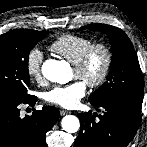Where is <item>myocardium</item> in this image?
Instances as JSON below:
<instances>
[{
  "label": "myocardium",
  "mask_w": 147,
  "mask_h": 147,
  "mask_svg": "<svg viewBox=\"0 0 147 147\" xmlns=\"http://www.w3.org/2000/svg\"><path fill=\"white\" fill-rule=\"evenodd\" d=\"M97 51H101L103 53L104 65L100 74L95 79L86 82L87 85L92 88L102 86L110 75L113 64V52L111 50V47L105 42H94L83 52L78 61L73 64V69L78 74L83 73L90 63L93 55Z\"/></svg>",
  "instance_id": "f54148a6"
}]
</instances>
